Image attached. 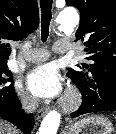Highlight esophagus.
Masks as SVG:
<instances>
[{
    "mask_svg": "<svg viewBox=\"0 0 116 134\" xmlns=\"http://www.w3.org/2000/svg\"><path fill=\"white\" fill-rule=\"evenodd\" d=\"M47 111H48V108L47 107L39 109L37 111V114H36L37 115V118L38 119L42 118L47 113Z\"/></svg>",
    "mask_w": 116,
    "mask_h": 134,
    "instance_id": "esophagus-1",
    "label": "esophagus"
}]
</instances>
